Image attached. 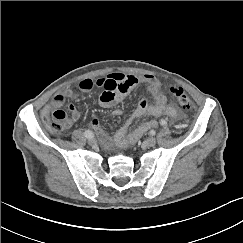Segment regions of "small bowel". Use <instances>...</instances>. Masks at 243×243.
<instances>
[{
  "instance_id": "1",
  "label": "small bowel",
  "mask_w": 243,
  "mask_h": 243,
  "mask_svg": "<svg viewBox=\"0 0 243 243\" xmlns=\"http://www.w3.org/2000/svg\"><path fill=\"white\" fill-rule=\"evenodd\" d=\"M132 81V84L130 83ZM137 85L147 86V91L152 99V104L149 105L146 100L139 102L138 106L132 112L130 117L126 120L122 127L114 135V142L118 145H127L136 141L150 128L156 127L155 121H146L140 124L133 131L129 132V128L133 122L143 116H161L166 115L172 119H177L180 114L178 110L168 105L166 97L163 95L159 81L152 75H124L121 73H111L107 77H100L97 79L85 78L79 81L78 88L82 92H88L94 87L102 88L103 92L99 97V104L102 107H110L121 102L125 96ZM74 96L72 89H66L62 93L56 94L50 104L45 106L42 110L43 115H47L52 111L59 110L63 105L65 98ZM70 116L68 118V127L78 121L80 112L76 105L70 104ZM115 116L122 114L120 109L113 111ZM90 125L92 129L100 136L103 143L107 146L111 141L104 133L99 118L94 115L91 119Z\"/></svg>"
}]
</instances>
